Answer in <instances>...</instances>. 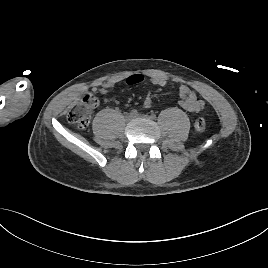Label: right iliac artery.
<instances>
[{
	"instance_id": "obj_1",
	"label": "right iliac artery",
	"mask_w": 268,
	"mask_h": 268,
	"mask_svg": "<svg viewBox=\"0 0 268 268\" xmlns=\"http://www.w3.org/2000/svg\"><path fill=\"white\" fill-rule=\"evenodd\" d=\"M130 114L136 116L138 114L137 110L133 109L130 111Z\"/></svg>"
}]
</instances>
